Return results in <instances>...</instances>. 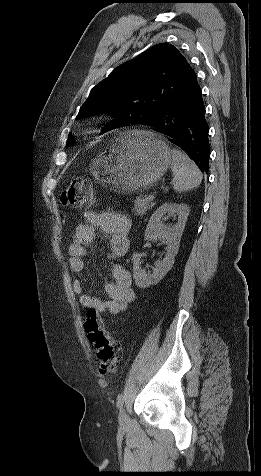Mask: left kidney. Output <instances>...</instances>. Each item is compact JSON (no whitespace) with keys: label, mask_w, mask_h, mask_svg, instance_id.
<instances>
[{"label":"left kidney","mask_w":261,"mask_h":476,"mask_svg":"<svg viewBox=\"0 0 261 476\" xmlns=\"http://www.w3.org/2000/svg\"><path fill=\"white\" fill-rule=\"evenodd\" d=\"M190 208L186 204L165 203L161 205L150 217L145 230V240H160L166 247V255L163 260L155 263L152 273H146L141 268V257L139 253H134L133 278L139 288H147L150 285L157 284L172 268L174 258L179 250V243L184 231L185 223L189 215ZM177 215L178 221L173 226H166L161 219L166 215Z\"/></svg>","instance_id":"left-kidney-1"}]
</instances>
